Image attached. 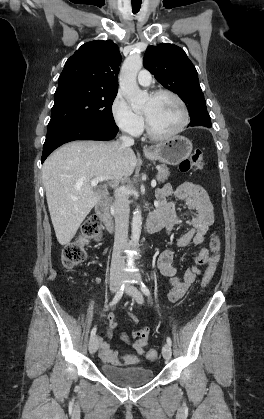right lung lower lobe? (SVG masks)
Listing matches in <instances>:
<instances>
[{
  "label": "right lung lower lobe",
  "instance_id": "1",
  "mask_svg": "<svg viewBox=\"0 0 264 419\" xmlns=\"http://www.w3.org/2000/svg\"><path fill=\"white\" fill-rule=\"evenodd\" d=\"M115 124L80 123L65 127L46 137L42 159L44 160L57 147L73 140H110L118 133Z\"/></svg>",
  "mask_w": 264,
  "mask_h": 419
}]
</instances>
